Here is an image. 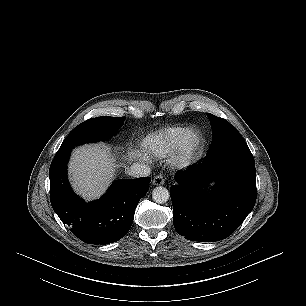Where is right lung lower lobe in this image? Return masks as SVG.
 <instances>
[{"mask_svg": "<svg viewBox=\"0 0 306 306\" xmlns=\"http://www.w3.org/2000/svg\"><path fill=\"white\" fill-rule=\"evenodd\" d=\"M71 151L55 156L50 169V201L70 231L88 244H109L129 231L139 200L148 192L150 177L119 179L99 200L85 203L67 179Z\"/></svg>", "mask_w": 306, "mask_h": 306, "instance_id": "98d812e1", "label": "right lung lower lobe"}]
</instances>
